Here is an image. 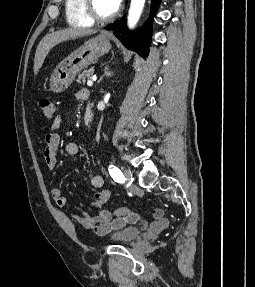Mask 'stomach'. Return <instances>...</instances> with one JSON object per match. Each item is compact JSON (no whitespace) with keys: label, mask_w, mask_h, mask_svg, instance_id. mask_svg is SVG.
I'll return each instance as SVG.
<instances>
[{"label":"stomach","mask_w":255,"mask_h":287,"mask_svg":"<svg viewBox=\"0 0 255 287\" xmlns=\"http://www.w3.org/2000/svg\"><path fill=\"white\" fill-rule=\"evenodd\" d=\"M112 38L113 36L100 34V36L84 42L80 48H76L69 56L68 66L63 70L62 74L54 72L50 82V90L52 92L67 90L81 70H85L90 64H95L100 56L108 54L109 50H111L110 40Z\"/></svg>","instance_id":"0dacf381"}]
</instances>
